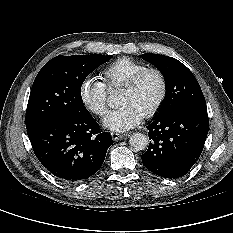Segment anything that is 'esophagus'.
<instances>
[{
	"label": "esophagus",
	"mask_w": 233,
	"mask_h": 233,
	"mask_svg": "<svg viewBox=\"0 0 233 233\" xmlns=\"http://www.w3.org/2000/svg\"><path fill=\"white\" fill-rule=\"evenodd\" d=\"M111 136H112V139L114 141H119L121 139L126 138L128 135L127 134H120V133H117V132H111Z\"/></svg>",
	"instance_id": "obj_1"
}]
</instances>
